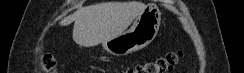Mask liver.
<instances>
[{
    "label": "liver",
    "instance_id": "1",
    "mask_svg": "<svg viewBox=\"0 0 244 73\" xmlns=\"http://www.w3.org/2000/svg\"><path fill=\"white\" fill-rule=\"evenodd\" d=\"M139 1L102 2L79 8L59 24L74 22L73 40L92 47L123 33L145 8Z\"/></svg>",
    "mask_w": 244,
    "mask_h": 73
}]
</instances>
